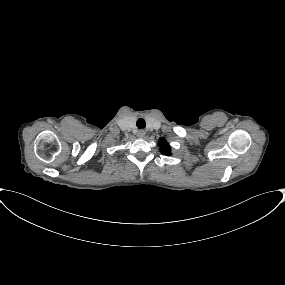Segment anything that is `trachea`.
<instances>
[{"label": "trachea", "instance_id": "trachea-1", "mask_svg": "<svg viewBox=\"0 0 285 285\" xmlns=\"http://www.w3.org/2000/svg\"><path fill=\"white\" fill-rule=\"evenodd\" d=\"M136 125L139 129H143L146 127V122L143 118H139L136 122Z\"/></svg>", "mask_w": 285, "mask_h": 285}]
</instances>
